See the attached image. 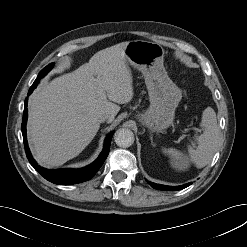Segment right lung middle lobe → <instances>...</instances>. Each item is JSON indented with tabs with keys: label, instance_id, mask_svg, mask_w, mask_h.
Here are the masks:
<instances>
[{
	"label": "right lung middle lobe",
	"instance_id": "obj_1",
	"mask_svg": "<svg viewBox=\"0 0 247 247\" xmlns=\"http://www.w3.org/2000/svg\"><path fill=\"white\" fill-rule=\"evenodd\" d=\"M54 63L47 65L43 70L40 71L38 77L34 82H39L42 77H44L52 68Z\"/></svg>",
	"mask_w": 247,
	"mask_h": 247
}]
</instances>
